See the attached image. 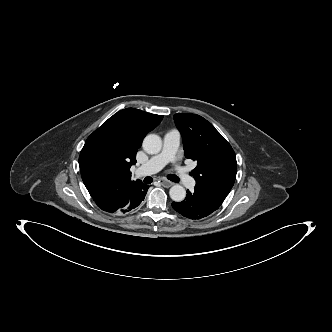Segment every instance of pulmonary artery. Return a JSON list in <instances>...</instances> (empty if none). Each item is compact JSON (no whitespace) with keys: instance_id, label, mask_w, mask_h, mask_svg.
Returning a JSON list of instances; mask_svg holds the SVG:
<instances>
[{"instance_id":"obj_1","label":"pulmonary artery","mask_w":332,"mask_h":332,"mask_svg":"<svg viewBox=\"0 0 332 332\" xmlns=\"http://www.w3.org/2000/svg\"><path fill=\"white\" fill-rule=\"evenodd\" d=\"M180 144V134L177 130H171L164 135L161 152L136 169L138 176H146L160 171L168 162L175 160V155ZM175 170L181 182L188 188L195 185L194 179L185 168L176 165Z\"/></svg>"}]
</instances>
